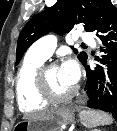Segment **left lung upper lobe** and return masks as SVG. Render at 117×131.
<instances>
[{
	"mask_svg": "<svg viewBox=\"0 0 117 131\" xmlns=\"http://www.w3.org/2000/svg\"><path fill=\"white\" fill-rule=\"evenodd\" d=\"M109 2L110 0H57L55 5L30 19L22 29L18 38L16 65L29 46L50 31L65 34L77 24H83L86 31L94 32ZM73 50L77 53L76 49ZM78 59L84 64L87 54L81 52Z\"/></svg>",
	"mask_w": 117,
	"mask_h": 131,
	"instance_id": "obj_1",
	"label": "left lung upper lobe"
}]
</instances>
